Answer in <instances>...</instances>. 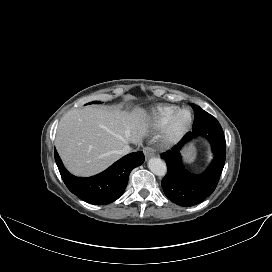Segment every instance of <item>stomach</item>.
<instances>
[{"label": "stomach", "mask_w": 272, "mask_h": 272, "mask_svg": "<svg viewBox=\"0 0 272 272\" xmlns=\"http://www.w3.org/2000/svg\"><path fill=\"white\" fill-rule=\"evenodd\" d=\"M182 155L187 163H192L196 159L197 152L194 146H188L182 151Z\"/></svg>", "instance_id": "obj_1"}]
</instances>
